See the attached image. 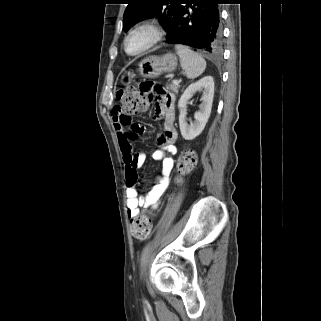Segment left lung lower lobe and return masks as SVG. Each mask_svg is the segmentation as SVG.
<instances>
[{
    "instance_id": "1",
    "label": "left lung lower lobe",
    "mask_w": 321,
    "mask_h": 321,
    "mask_svg": "<svg viewBox=\"0 0 321 321\" xmlns=\"http://www.w3.org/2000/svg\"><path fill=\"white\" fill-rule=\"evenodd\" d=\"M222 0H181L167 29V43L219 54L223 43L218 4Z\"/></svg>"
}]
</instances>
